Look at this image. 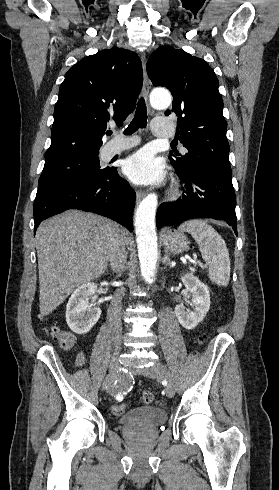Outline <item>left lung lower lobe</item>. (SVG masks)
I'll return each mask as SVG.
<instances>
[{"instance_id":"left-lung-lower-lobe-1","label":"left lung lower lobe","mask_w":279,"mask_h":490,"mask_svg":"<svg viewBox=\"0 0 279 490\" xmlns=\"http://www.w3.org/2000/svg\"><path fill=\"white\" fill-rule=\"evenodd\" d=\"M176 173L184 185V194L177 202L159 207L157 229L188 219L212 218L224 220L238 235L232 172L212 165H199L185 173Z\"/></svg>"}]
</instances>
